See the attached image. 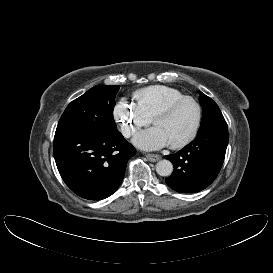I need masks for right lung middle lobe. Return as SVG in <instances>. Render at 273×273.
I'll list each match as a JSON object with an SVG mask.
<instances>
[{
	"label": "right lung middle lobe",
	"instance_id": "1",
	"mask_svg": "<svg viewBox=\"0 0 273 273\" xmlns=\"http://www.w3.org/2000/svg\"><path fill=\"white\" fill-rule=\"evenodd\" d=\"M120 86L96 85L72 101L62 114L55 136L68 133H118L113 118L115 96Z\"/></svg>",
	"mask_w": 273,
	"mask_h": 273
}]
</instances>
